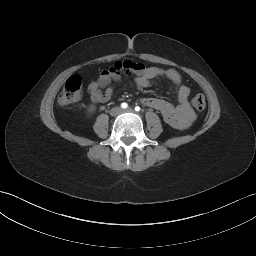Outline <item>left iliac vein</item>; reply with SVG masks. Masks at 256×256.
Masks as SVG:
<instances>
[{"instance_id": "left-iliac-vein-1", "label": "left iliac vein", "mask_w": 256, "mask_h": 256, "mask_svg": "<svg viewBox=\"0 0 256 256\" xmlns=\"http://www.w3.org/2000/svg\"><path fill=\"white\" fill-rule=\"evenodd\" d=\"M134 110L132 108H127L126 110H124V112H133Z\"/></svg>"}]
</instances>
